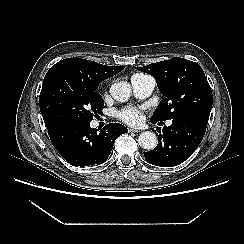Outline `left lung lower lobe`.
Returning a JSON list of instances; mask_svg holds the SVG:
<instances>
[{
    "mask_svg": "<svg viewBox=\"0 0 244 244\" xmlns=\"http://www.w3.org/2000/svg\"><path fill=\"white\" fill-rule=\"evenodd\" d=\"M206 127L207 122L196 117L172 119V124L162 129V134L161 130H158V145L144 153L146 161L160 167H173L182 163L201 143Z\"/></svg>",
    "mask_w": 244,
    "mask_h": 244,
    "instance_id": "obj_1",
    "label": "left lung lower lobe"
}]
</instances>
